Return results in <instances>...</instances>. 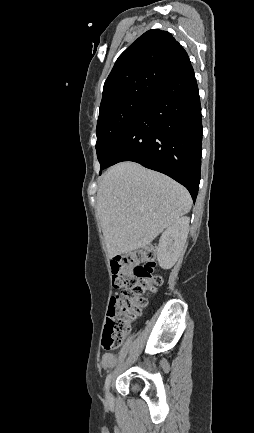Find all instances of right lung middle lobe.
<instances>
[{"instance_id":"dd1d6c3e","label":"right lung middle lobe","mask_w":254,"mask_h":433,"mask_svg":"<svg viewBox=\"0 0 254 433\" xmlns=\"http://www.w3.org/2000/svg\"><path fill=\"white\" fill-rule=\"evenodd\" d=\"M148 101L149 99L142 98L126 99L100 109L96 151L101 170L108 163L112 150L122 134Z\"/></svg>"}]
</instances>
